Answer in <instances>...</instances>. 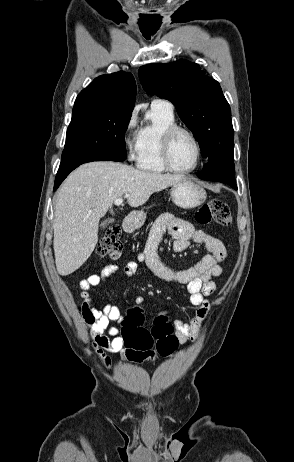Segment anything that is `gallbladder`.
Segmentation results:
<instances>
[{
	"label": "gallbladder",
	"instance_id": "bac80fb5",
	"mask_svg": "<svg viewBox=\"0 0 294 462\" xmlns=\"http://www.w3.org/2000/svg\"><path fill=\"white\" fill-rule=\"evenodd\" d=\"M110 222H112V219L106 220L105 222H103V223L101 224V226H105L107 223H110Z\"/></svg>",
	"mask_w": 294,
	"mask_h": 462
}]
</instances>
